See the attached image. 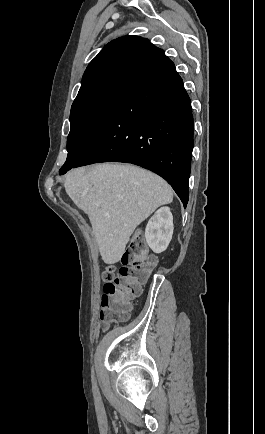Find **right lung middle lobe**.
<instances>
[{
    "instance_id": "right-lung-middle-lobe-1",
    "label": "right lung middle lobe",
    "mask_w": 265,
    "mask_h": 434,
    "mask_svg": "<svg viewBox=\"0 0 265 434\" xmlns=\"http://www.w3.org/2000/svg\"><path fill=\"white\" fill-rule=\"evenodd\" d=\"M133 77L116 74L81 86L70 113L67 160L59 173L71 168L86 153Z\"/></svg>"
}]
</instances>
